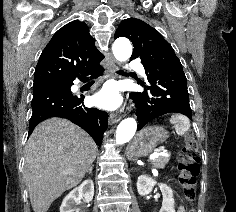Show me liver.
Returning a JSON list of instances; mask_svg holds the SVG:
<instances>
[{"label":"liver","mask_w":236,"mask_h":212,"mask_svg":"<svg viewBox=\"0 0 236 212\" xmlns=\"http://www.w3.org/2000/svg\"><path fill=\"white\" fill-rule=\"evenodd\" d=\"M97 146L67 119L40 123L26 144L27 190L34 212H47L66 190L77 186L96 158Z\"/></svg>","instance_id":"liver-1"}]
</instances>
